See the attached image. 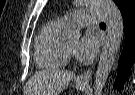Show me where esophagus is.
<instances>
[{
	"mask_svg": "<svg viewBox=\"0 0 135 95\" xmlns=\"http://www.w3.org/2000/svg\"><path fill=\"white\" fill-rule=\"evenodd\" d=\"M91 76H92V69H88L87 71H85L84 73H82L80 76L77 77V81L87 83L89 82Z\"/></svg>",
	"mask_w": 135,
	"mask_h": 95,
	"instance_id": "1",
	"label": "esophagus"
}]
</instances>
